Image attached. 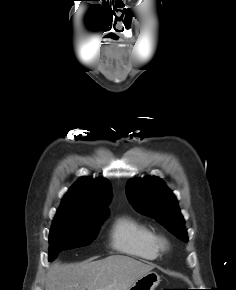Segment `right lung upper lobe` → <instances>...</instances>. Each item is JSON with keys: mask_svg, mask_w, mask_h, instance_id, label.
Segmentation results:
<instances>
[{"mask_svg": "<svg viewBox=\"0 0 236 290\" xmlns=\"http://www.w3.org/2000/svg\"><path fill=\"white\" fill-rule=\"evenodd\" d=\"M111 184L104 178L79 179L65 194L56 216L85 218L108 213Z\"/></svg>", "mask_w": 236, "mask_h": 290, "instance_id": "obj_1", "label": "right lung upper lobe"}]
</instances>
